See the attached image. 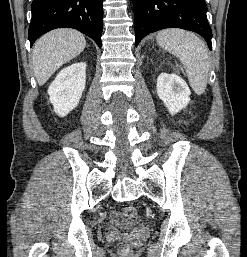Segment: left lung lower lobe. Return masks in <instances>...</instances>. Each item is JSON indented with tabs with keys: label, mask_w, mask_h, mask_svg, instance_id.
Returning a JSON list of instances; mask_svg holds the SVG:
<instances>
[{
	"label": "left lung lower lobe",
	"mask_w": 247,
	"mask_h": 257,
	"mask_svg": "<svg viewBox=\"0 0 247 257\" xmlns=\"http://www.w3.org/2000/svg\"><path fill=\"white\" fill-rule=\"evenodd\" d=\"M135 46L148 34L165 28H182L200 34L212 49L205 0H133Z\"/></svg>",
	"instance_id": "obj_1"
}]
</instances>
